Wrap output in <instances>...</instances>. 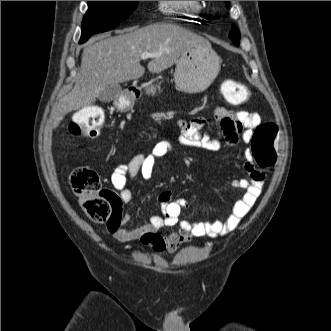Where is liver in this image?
<instances>
[{
	"mask_svg": "<svg viewBox=\"0 0 331 331\" xmlns=\"http://www.w3.org/2000/svg\"><path fill=\"white\" fill-rule=\"evenodd\" d=\"M209 43L203 37L170 23L151 24L126 34L88 43L82 53L81 69L73 89L51 111L49 125L58 127L66 114L96 101L100 92L111 84L142 77L143 53H155L147 68L160 73L170 68L191 46Z\"/></svg>",
	"mask_w": 331,
	"mask_h": 331,
	"instance_id": "6515ba94",
	"label": "liver"
}]
</instances>
